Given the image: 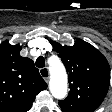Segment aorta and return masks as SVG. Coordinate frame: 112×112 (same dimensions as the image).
<instances>
[{
  "label": "aorta",
  "instance_id": "aorta-1",
  "mask_svg": "<svg viewBox=\"0 0 112 112\" xmlns=\"http://www.w3.org/2000/svg\"><path fill=\"white\" fill-rule=\"evenodd\" d=\"M50 83L49 88L51 94L56 99H63L67 95V74L64 65L56 57L55 61L50 64Z\"/></svg>",
  "mask_w": 112,
  "mask_h": 112
}]
</instances>
